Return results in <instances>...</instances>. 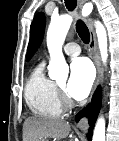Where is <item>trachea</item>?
Here are the masks:
<instances>
[{"instance_id":"trachea-1","label":"trachea","mask_w":119,"mask_h":141,"mask_svg":"<svg viewBox=\"0 0 119 141\" xmlns=\"http://www.w3.org/2000/svg\"><path fill=\"white\" fill-rule=\"evenodd\" d=\"M66 8L69 11H73L76 8L77 0H65ZM76 31L81 38V40L88 44L90 41V33L86 24L82 20H78L76 23Z\"/></svg>"}]
</instances>
